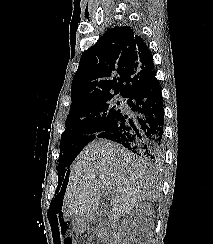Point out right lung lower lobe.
<instances>
[{
    "mask_svg": "<svg viewBox=\"0 0 213 244\" xmlns=\"http://www.w3.org/2000/svg\"><path fill=\"white\" fill-rule=\"evenodd\" d=\"M131 116L120 113L97 138L115 141L133 153L157 162L163 154L164 107L161 89L153 71L127 99ZM67 178L63 181L65 189Z\"/></svg>",
    "mask_w": 213,
    "mask_h": 244,
    "instance_id": "right-lung-lower-lobe-1",
    "label": "right lung lower lobe"
}]
</instances>
